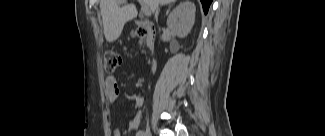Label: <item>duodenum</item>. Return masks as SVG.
I'll return each mask as SVG.
<instances>
[{
    "label": "duodenum",
    "mask_w": 325,
    "mask_h": 136,
    "mask_svg": "<svg viewBox=\"0 0 325 136\" xmlns=\"http://www.w3.org/2000/svg\"><path fill=\"white\" fill-rule=\"evenodd\" d=\"M138 27L143 30L147 35V46L149 49L153 48L155 40V26L148 21H139Z\"/></svg>",
    "instance_id": "410a0bca"
}]
</instances>
